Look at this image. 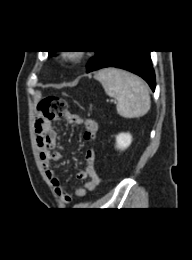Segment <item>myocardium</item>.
Returning a JSON list of instances; mask_svg holds the SVG:
<instances>
[{"label": "myocardium", "mask_w": 192, "mask_h": 260, "mask_svg": "<svg viewBox=\"0 0 192 260\" xmlns=\"http://www.w3.org/2000/svg\"><path fill=\"white\" fill-rule=\"evenodd\" d=\"M63 57L68 61V62H71V63H75V62H78L79 60L82 59L83 57V52H80V51H69V52H66Z\"/></svg>", "instance_id": "obj_1"}]
</instances>
